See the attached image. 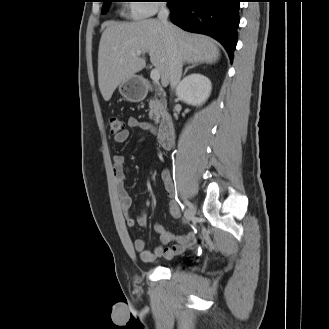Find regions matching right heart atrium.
<instances>
[{"label": "right heart atrium", "instance_id": "obj_1", "mask_svg": "<svg viewBox=\"0 0 329 329\" xmlns=\"http://www.w3.org/2000/svg\"><path fill=\"white\" fill-rule=\"evenodd\" d=\"M130 2L128 12L134 19L150 17L160 9L159 0H131Z\"/></svg>", "mask_w": 329, "mask_h": 329}]
</instances>
